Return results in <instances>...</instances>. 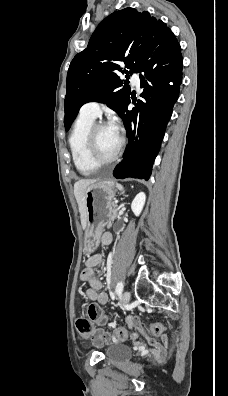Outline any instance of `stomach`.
I'll return each instance as SVG.
<instances>
[{"label":"stomach","mask_w":228,"mask_h":396,"mask_svg":"<svg viewBox=\"0 0 228 396\" xmlns=\"http://www.w3.org/2000/svg\"><path fill=\"white\" fill-rule=\"evenodd\" d=\"M115 191L114 182L109 180L91 183L85 190L87 226L84 234V252L86 254L96 250L103 229L113 215Z\"/></svg>","instance_id":"1"}]
</instances>
